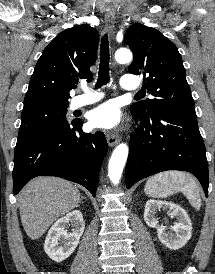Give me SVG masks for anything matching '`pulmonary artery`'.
Segmentation results:
<instances>
[{
    "instance_id": "obj_1",
    "label": "pulmonary artery",
    "mask_w": 215,
    "mask_h": 274,
    "mask_svg": "<svg viewBox=\"0 0 215 274\" xmlns=\"http://www.w3.org/2000/svg\"><path fill=\"white\" fill-rule=\"evenodd\" d=\"M120 85L124 90L134 91L138 89V82L131 76L125 75L121 77ZM83 94L74 97L71 100L70 108L72 110L93 104L99 101L103 95L99 92L92 91L87 86H82Z\"/></svg>"
}]
</instances>
